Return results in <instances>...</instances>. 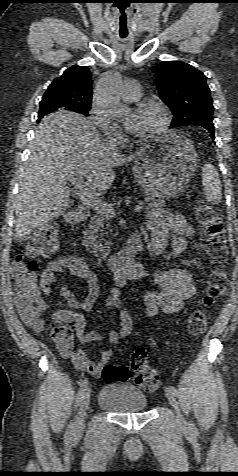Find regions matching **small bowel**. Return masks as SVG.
I'll return each mask as SVG.
<instances>
[{"mask_svg": "<svg viewBox=\"0 0 238 476\" xmlns=\"http://www.w3.org/2000/svg\"><path fill=\"white\" fill-rule=\"evenodd\" d=\"M146 227L151 233V249L155 255H161L169 246L171 247L170 256L178 255L184 250L187 240L193 234L191 225L183 216L163 211L149 214ZM170 232L172 236L169 235ZM66 272L85 279L88 293L83 300H79L74 296L67 282L61 284L59 292L68 308L57 310L52 314L54 326L51 338L64 358L70 359L79 371L87 372L96 378L102 375L103 368L112 358V351L103 350L100 360L93 362L83 347H74V342L77 340L85 345L105 336L109 343L116 344L131 334L133 317L124 309L120 297V287L124 286L128 280L150 278L159 288L158 291H148L143 296L147 317L179 311L196 292L192 276L187 270L172 268L148 271L136 264L135 271L115 275L117 287L112 290L105 302L108 309L123 308L119 317V328L108 331H86V319L83 312L93 308L99 297L100 287L95 274L85 261L73 255L60 256L51 260L40 273L39 293L45 295L52 293L57 276ZM40 303L45 310L46 303L41 299Z\"/></svg>", "mask_w": 238, "mask_h": 476, "instance_id": "small-bowel-1", "label": "small bowel"}]
</instances>
